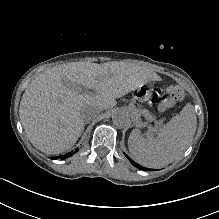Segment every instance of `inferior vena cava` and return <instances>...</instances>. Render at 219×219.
<instances>
[{
    "instance_id": "602c4592",
    "label": "inferior vena cava",
    "mask_w": 219,
    "mask_h": 219,
    "mask_svg": "<svg viewBox=\"0 0 219 219\" xmlns=\"http://www.w3.org/2000/svg\"><path fill=\"white\" fill-rule=\"evenodd\" d=\"M99 110L96 108V107H87V108H84L82 111H81V118L84 120V121H93V120H96L98 117H99Z\"/></svg>"
}]
</instances>
